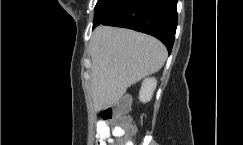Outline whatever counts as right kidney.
Wrapping results in <instances>:
<instances>
[{
	"instance_id": "1",
	"label": "right kidney",
	"mask_w": 243,
	"mask_h": 145,
	"mask_svg": "<svg viewBox=\"0 0 243 145\" xmlns=\"http://www.w3.org/2000/svg\"><path fill=\"white\" fill-rule=\"evenodd\" d=\"M156 86L157 81L155 78H146L142 82V86L139 92V100L143 103L149 102L152 98Z\"/></svg>"
}]
</instances>
